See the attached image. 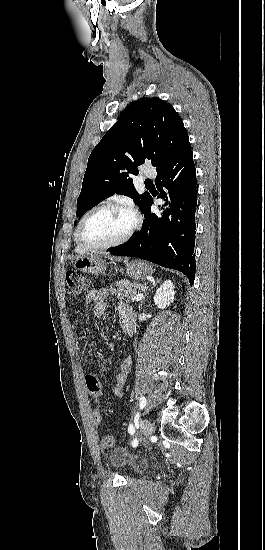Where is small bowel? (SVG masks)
<instances>
[{
    "label": "small bowel",
    "instance_id": "obj_1",
    "mask_svg": "<svg viewBox=\"0 0 265 550\" xmlns=\"http://www.w3.org/2000/svg\"><path fill=\"white\" fill-rule=\"evenodd\" d=\"M107 291L105 289L100 290H92L90 291L86 297H85V303L90 304L94 303V309L93 313L94 316L97 318L102 317L106 311H107ZM118 315H119V324L121 326V329L123 332L128 335L132 336L134 334V324H135V318H134V310L131 306H129L126 303L120 302L117 306ZM77 337L80 336V332L78 331L76 334ZM85 355L88 359L92 360L95 357V354L92 349H85ZM131 369V359L128 357H125L118 369V372L115 377V382L112 387V393L115 397H121L123 395L124 385L126 382V379L128 377V374ZM102 420V417L99 421L94 420L95 423H100Z\"/></svg>",
    "mask_w": 265,
    "mask_h": 550
}]
</instances>
